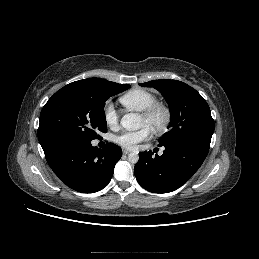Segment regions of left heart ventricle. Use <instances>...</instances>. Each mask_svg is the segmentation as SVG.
I'll return each instance as SVG.
<instances>
[{
    "instance_id": "obj_1",
    "label": "left heart ventricle",
    "mask_w": 259,
    "mask_h": 259,
    "mask_svg": "<svg viewBox=\"0 0 259 259\" xmlns=\"http://www.w3.org/2000/svg\"><path fill=\"white\" fill-rule=\"evenodd\" d=\"M161 121V114L158 113L154 116V118L150 121H146L142 116L140 117V125L141 126H147L149 128H152L156 124H158Z\"/></svg>"
}]
</instances>
